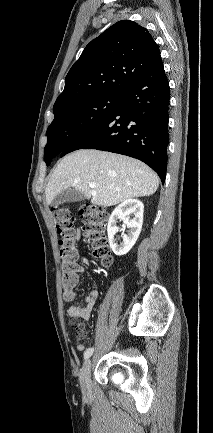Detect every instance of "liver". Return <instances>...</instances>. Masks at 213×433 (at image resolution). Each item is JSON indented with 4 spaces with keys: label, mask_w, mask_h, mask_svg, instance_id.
<instances>
[{
    "label": "liver",
    "mask_w": 213,
    "mask_h": 433,
    "mask_svg": "<svg viewBox=\"0 0 213 433\" xmlns=\"http://www.w3.org/2000/svg\"><path fill=\"white\" fill-rule=\"evenodd\" d=\"M89 183H96L91 189ZM159 186L156 173L143 162L121 154L81 149L64 157L46 190L50 205L56 195L74 188L97 206H113L128 199L150 196Z\"/></svg>",
    "instance_id": "1"
}]
</instances>
